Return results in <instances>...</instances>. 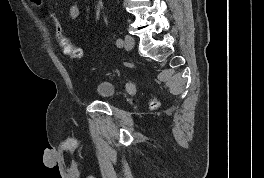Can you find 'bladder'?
Here are the masks:
<instances>
[{
	"mask_svg": "<svg viewBox=\"0 0 264 178\" xmlns=\"http://www.w3.org/2000/svg\"><path fill=\"white\" fill-rule=\"evenodd\" d=\"M95 93L105 101H112L116 95V89L111 82L102 81L95 87Z\"/></svg>",
	"mask_w": 264,
	"mask_h": 178,
	"instance_id": "obj_1",
	"label": "bladder"
}]
</instances>
